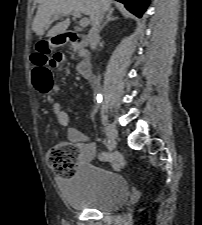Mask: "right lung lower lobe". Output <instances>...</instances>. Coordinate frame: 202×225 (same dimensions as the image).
<instances>
[{"mask_svg": "<svg viewBox=\"0 0 202 225\" xmlns=\"http://www.w3.org/2000/svg\"><path fill=\"white\" fill-rule=\"evenodd\" d=\"M125 4L126 8L135 14L137 17H141L146 10L150 0H116Z\"/></svg>", "mask_w": 202, "mask_h": 225, "instance_id": "1", "label": "right lung lower lobe"}]
</instances>
